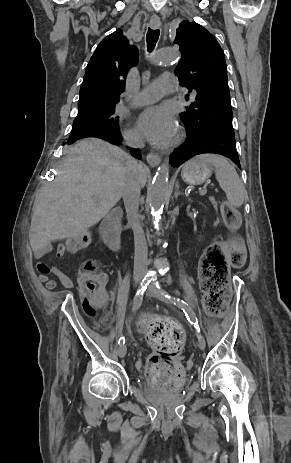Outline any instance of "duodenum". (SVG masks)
<instances>
[{"label":"duodenum","mask_w":291,"mask_h":463,"mask_svg":"<svg viewBox=\"0 0 291 463\" xmlns=\"http://www.w3.org/2000/svg\"><path fill=\"white\" fill-rule=\"evenodd\" d=\"M122 206L118 205L117 209H113L108 213L100 224V233L105 244L113 251L120 252L123 249L120 231L117 228V223L122 216Z\"/></svg>","instance_id":"obj_1"}]
</instances>
